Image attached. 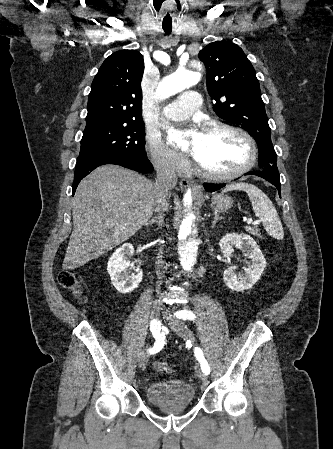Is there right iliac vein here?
Masks as SVG:
<instances>
[{
    "label": "right iliac vein",
    "mask_w": 333,
    "mask_h": 449,
    "mask_svg": "<svg viewBox=\"0 0 333 449\" xmlns=\"http://www.w3.org/2000/svg\"><path fill=\"white\" fill-rule=\"evenodd\" d=\"M161 312H162V305L157 302L154 303L152 305V309H151V315H152L153 320L157 321ZM148 357H149V354H148L147 350H144L139 356V360H138L139 366H144L146 364V362L148 361Z\"/></svg>",
    "instance_id": "right-iliac-vein-1"
}]
</instances>
